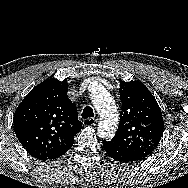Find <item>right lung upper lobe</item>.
<instances>
[{
	"label": "right lung upper lobe",
	"instance_id": "obj_1",
	"mask_svg": "<svg viewBox=\"0 0 188 188\" xmlns=\"http://www.w3.org/2000/svg\"><path fill=\"white\" fill-rule=\"evenodd\" d=\"M67 91L66 79H47L29 92L14 113L15 134L34 158L44 160L67 151L81 131L77 108Z\"/></svg>",
	"mask_w": 188,
	"mask_h": 188
}]
</instances>
